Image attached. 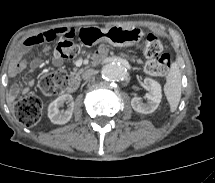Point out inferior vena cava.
<instances>
[{
    "instance_id": "obj_1",
    "label": "inferior vena cava",
    "mask_w": 215,
    "mask_h": 183,
    "mask_svg": "<svg viewBox=\"0 0 215 183\" xmlns=\"http://www.w3.org/2000/svg\"><path fill=\"white\" fill-rule=\"evenodd\" d=\"M95 74H96L95 70H93V69H88V70H86V71L83 72L82 78H83L84 80H88V79L93 78V77L95 76Z\"/></svg>"
}]
</instances>
